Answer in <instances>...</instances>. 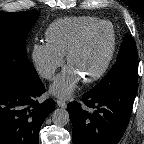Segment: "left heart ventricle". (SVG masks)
<instances>
[{
  "label": "left heart ventricle",
  "instance_id": "obj_1",
  "mask_svg": "<svg viewBox=\"0 0 144 144\" xmlns=\"http://www.w3.org/2000/svg\"><path fill=\"white\" fill-rule=\"evenodd\" d=\"M111 44L110 26L104 25L93 31L74 54L70 66L81 78L96 72L104 62Z\"/></svg>",
  "mask_w": 144,
  "mask_h": 144
}]
</instances>
